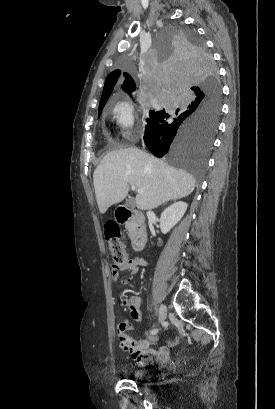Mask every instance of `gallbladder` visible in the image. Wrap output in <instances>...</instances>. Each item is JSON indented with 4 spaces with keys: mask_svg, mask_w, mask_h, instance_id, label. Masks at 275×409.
Returning a JSON list of instances; mask_svg holds the SVG:
<instances>
[{
    "mask_svg": "<svg viewBox=\"0 0 275 409\" xmlns=\"http://www.w3.org/2000/svg\"><path fill=\"white\" fill-rule=\"evenodd\" d=\"M126 207H132V200H127V202H125Z\"/></svg>",
    "mask_w": 275,
    "mask_h": 409,
    "instance_id": "1",
    "label": "gallbladder"
}]
</instances>
